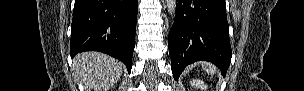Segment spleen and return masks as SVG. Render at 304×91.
I'll use <instances>...</instances> for the list:
<instances>
[{"label": "spleen", "instance_id": "spleen-1", "mask_svg": "<svg viewBox=\"0 0 304 91\" xmlns=\"http://www.w3.org/2000/svg\"><path fill=\"white\" fill-rule=\"evenodd\" d=\"M202 67L204 68V70H206L209 73H215V67L211 64H206V63H202Z\"/></svg>", "mask_w": 304, "mask_h": 91}]
</instances>
